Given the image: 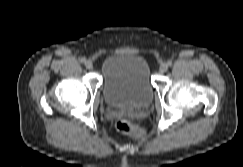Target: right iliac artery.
Here are the masks:
<instances>
[{"mask_svg":"<svg viewBox=\"0 0 243 167\" xmlns=\"http://www.w3.org/2000/svg\"><path fill=\"white\" fill-rule=\"evenodd\" d=\"M80 62H81V63H85V62H86V58H85V57H82V58L80 59Z\"/></svg>","mask_w":243,"mask_h":167,"instance_id":"82829eb1","label":"right iliac artery"}]
</instances>
